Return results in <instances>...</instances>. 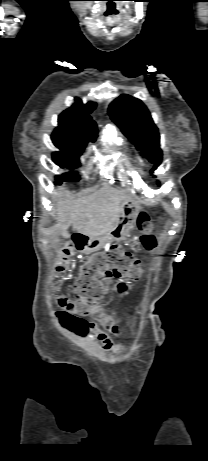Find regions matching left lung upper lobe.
Wrapping results in <instances>:
<instances>
[{
    "mask_svg": "<svg viewBox=\"0 0 208 461\" xmlns=\"http://www.w3.org/2000/svg\"><path fill=\"white\" fill-rule=\"evenodd\" d=\"M108 115L123 134L133 141L147 159L155 166L161 163L160 136L147 107L141 100L130 95H121L108 108Z\"/></svg>",
    "mask_w": 208,
    "mask_h": 461,
    "instance_id": "1",
    "label": "left lung upper lobe"
}]
</instances>
